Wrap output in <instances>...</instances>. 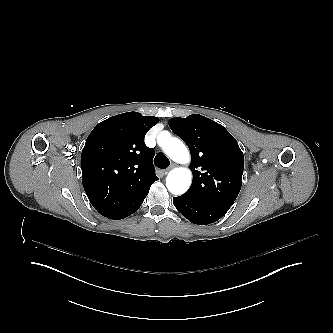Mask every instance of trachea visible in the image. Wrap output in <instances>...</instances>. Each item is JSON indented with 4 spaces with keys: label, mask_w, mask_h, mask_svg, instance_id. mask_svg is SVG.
<instances>
[{
    "label": "trachea",
    "mask_w": 333,
    "mask_h": 333,
    "mask_svg": "<svg viewBox=\"0 0 333 333\" xmlns=\"http://www.w3.org/2000/svg\"><path fill=\"white\" fill-rule=\"evenodd\" d=\"M154 164L161 168V169H165L170 165V161L169 159L164 156L163 154H158L155 158H154Z\"/></svg>",
    "instance_id": "1"
}]
</instances>
